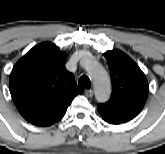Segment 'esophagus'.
<instances>
[{"label":"esophagus","instance_id":"esophagus-1","mask_svg":"<svg viewBox=\"0 0 165 154\" xmlns=\"http://www.w3.org/2000/svg\"><path fill=\"white\" fill-rule=\"evenodd\" d=\"M93 94H94L93 90H91V89H86V90H85V95H86L87 97H92Z\"/></svg>","mask_w":165,"mask_h":154}]
</instances>
